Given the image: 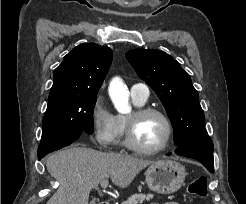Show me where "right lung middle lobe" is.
<instances>
[{"label": "right lung middle lobe", "mask_w": 246, "mask_h": 204, "mask_svg": "<svg viewBox=\"0 0 246 204\" xmlns=\"http://www.w3.org/2000/svg\"><path fill=\"white\" fill-rule=\"evenodd\" d=\"M96 94L71 96L48 102L38 157L67 146L83 132L93 133Z\"/></svg>", "instance_id": "obj_1"}]
</instances>
